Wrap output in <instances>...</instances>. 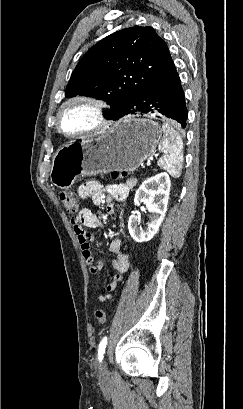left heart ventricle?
Returning a JSON list of instances; mask_svg holds the SVG:
<instances>
[{
  "mask_svg": "<svg viewBox=\"0 0 243 409\" xmlns=\"http://www.w3.org/2000/svg\"><path fill=\"white\" fill-rule=\"evenodd\" d=\"M96 123L92 109L83 103L67 107L61 118V125L67 133H77L93 127Z\"/></svg>",
  "mask_w": 243,
  "mask_h": 409,
  "instance_id": "b2bd125f",
  "label": "left heart ventricle"
}]
</instances>
